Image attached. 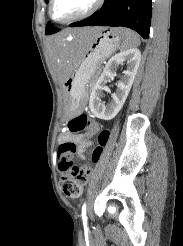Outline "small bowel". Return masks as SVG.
Masks as SVG:
<instances>
[{"label": "small bowel", "instance_id": "small-bowel-1", "mask_svg": "<svg viewBox=\"0 0 183 246\" xmlns=\"http://www.w3.org/2000/svg\"><path fill=\"white\" fill-rule=\"evenodd\" d=\"M71 142L77 146V153L83 157L84 151L91 146L90 137L87 134H74L70 131L63 132L59 137V143Z\"/></svg>", "mask_w": 183, "mask_h": 246}]
</instances>
